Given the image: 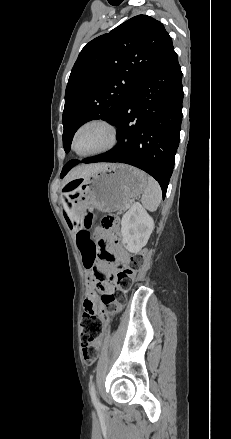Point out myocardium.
Wrapping results in <instances>:
<instances>
[{
	"mask_svg": "<svg viewBox=\"0 0 231 439\" xmlns=\"http://www.w3.org/2000/svg\"><path fill=\"white\" fill-rule=\"evenodd\" d=\"M89 126H99L102 127L106 130L107 132V141L106 143L99 149H96L94 151H90V152H79L76 149V139L78 134L85 128L89 127ZM118 129L117 127L108 119L105 118H101V117H94V118H90L87 119L85 121H83L81 124H79L76 129L74 130L72 137H71V149L72 151L78 155L79 157H94V156H98L104 153H107L108 151L112 150L118 143Z\"/></svg>",
	"mask_w": 231,
	"mask_h": 439,
	"instance_id": "f54148a6",
	"label": "myocardium"
}]
</instances>
